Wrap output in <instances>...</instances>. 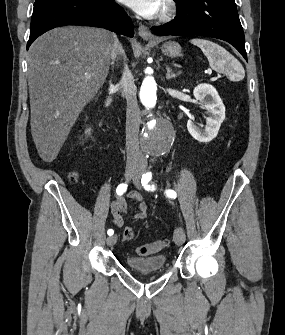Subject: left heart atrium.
I'll return each instance as SVG.
<instances>
[{
	"instance_id": "1",
	"label": "left heart atrium",
	"mask_w": 285,
	"mask_h": 335,
	"mask_svg": "<svg viewBox=\"0 0 285 335\" xmlns=\"http://www.w3.org/2000/svg\"><path fill=\"white\" fill-rule=\"evenodd\" d=\"M125 6L129 7L138 14L152 18L156 17L159 12L158 1H119Z\"/></svg>"
}]
</instances>
